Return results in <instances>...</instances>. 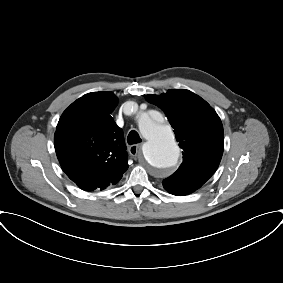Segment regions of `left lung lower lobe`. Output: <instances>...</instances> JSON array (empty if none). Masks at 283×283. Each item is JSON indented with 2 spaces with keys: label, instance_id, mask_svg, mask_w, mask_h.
<instances>
[{
  "label": "left lung lower lobe",
  "instance_id": "left-lung-lower-lobe-1",
  "mask_svg": "<svg viewBox=\"0 0 283 283\" xmlns=\"http://www.w3.org/2000/svg\"><path fill=\"white\" fill-rule=\"evenodd\" d=\"M193 191H184V190H176V191H169V193L173 195L183 196L192 193Z\"/></svg>",
  "mask_w": 283,
  "mask_h": 283
}]
</instances>
